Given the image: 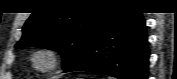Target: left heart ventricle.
Here are the masks:
<instances>
[{
    "mask_svg": "<svg viewBox=\"0 0 177 79\" xmlns=\"http://www.w3.org/2000/svg\"><path fill=\"white\" fill-rule=\"evenodd\" d=\"M36 62L38 65H44L48 62V58L45 56H41V57L37 58Z\"/></svg>",
    "mask_w": 177,
    "mask_h": 79,
    "instance_id": "1",
    "label": "left heart ventricle"
}]
</instances>
